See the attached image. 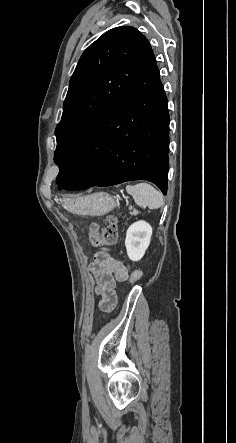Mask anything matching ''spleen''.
Masks as SVG:
<instances>
[{
    "label": "spleen",
    "mask_w": 236,
    "mask_h": 443,
    "mask_svg": "<svg viewBox=\"0 0 236 443\" xmlns=\"http://www.w3.org/2000/svg\"><path fill=\"white\" fill-rule=\"evenodd\" d=\"M126 191L134 198L138 206H147L153 210L160 208L164 204L162 193L150 184L138 183L136 185H127Z\"/></svg>",
    "instance_id": "obj_1"
}]
</instances>
